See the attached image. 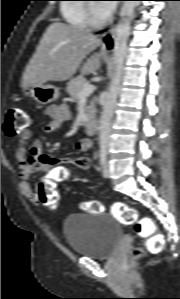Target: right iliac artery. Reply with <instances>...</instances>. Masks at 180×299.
Instances as JSON below:
<instances>
[{"label": "right iliac artery", "instance_id": "1", "mask_svg": "<svg viewBox=\"0 0 180 299\" xmlns=\"http://www.w3.org/2000/svg\"><path fill=\"white\" fill-rule=\"evenodd\" d=\"M107 159V152L106 150L102 149L100 151V164L103 166L106 163Z\"/></svg>", "mask_w": 180, "mask_h": 299}]
</instances>
